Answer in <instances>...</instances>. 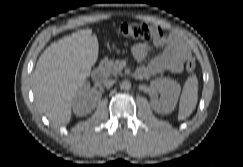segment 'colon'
<instances>
[{
  "label": "colon",
  "mask_w": 243,
  "mask_h": 167,
  "mask_svg": "<svg viewBox=\"0 0 243 167\" xmlns=\"http://www.w3.org/2000/svg\"><path fill=\"white\" fill-rule=\"evenodd\" d=\"M160 31L161 30L159 28L154 29L144 23L123 24L119 30L120 34L124 37L145 41L154 39ZM195 67L196 63L194 58L188 57L185 61V71L187 73H192L195 70Z\"/></svg>",
  "instance_id": "1"
}]
</instances>
